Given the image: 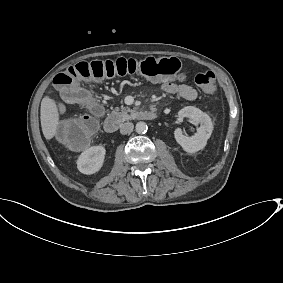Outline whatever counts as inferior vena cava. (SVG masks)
Instances as JSON below:
<instances>
[{
  "instance_id": "obj_1",
  "label": "inferior vena cava",
  "mask_w": 283,
  "mask_h": 283,
  "mask_svg": "<svg viewBox=\"0 0 283 283\" xmlns=\"http://www.w3.org/2000/svg\"><path fill=\"white\" fill-rule=\"evenodd\" d=\"M133 128H134L133 123L126 122L124 124H121V126H120V133L121 134H128V133L132 132Z\"/></svg>"
}]
</instances>
